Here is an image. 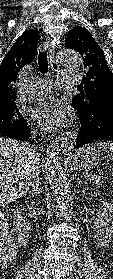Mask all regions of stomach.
I'll list each match as a JSON object with an SVG mask.
<instances>
[{
    "mask_svg": "<svg viewBox=\"0 0 113 279\" xmlns=\"http://www.w3.org/2000/svg\"><path fill=\"white\" fill-rule=\"evenodd\" d=\"M74 168L91 169L100 162L99 151L94 145H85L70 156Z\"/></svg>",
    "mask_w": 113,
    "mask_h": 279,
    "instance_id": "1",
    "label": "stomach"
}]
</instances>
